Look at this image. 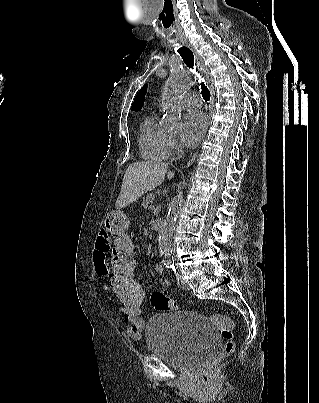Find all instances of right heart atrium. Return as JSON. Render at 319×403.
Listing matches in <instances>:
<instances>
[{"label": "right heart atrium", "instance_id": "1", "mask_svg": "<svg viewBox=\"0 0 319 403\" xmlns=\"http://www.w3.org/2000/svg\"><path fill=\"white\" fill-rule=\"evenodd\" d=\"M169 150H174L177 146V142L173 136H169L168 140Z\"/></svg>", "mask_w": 319, "mask_h": 403}]
</instances>
